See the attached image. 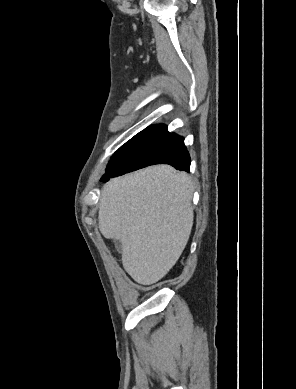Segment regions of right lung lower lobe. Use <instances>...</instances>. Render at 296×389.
Segmentation results:
<instances>
[{
  "label": "right lung lower lobe",
  "instance_id": "obj_1",
  "mask_svg": "<svg viewBox=\"0 0 296 389\" xmlns=\"http://www.w3.org/2000/svg\"><path fill=\"white\" fill-rule=\"evenodd\" d=\"M190 156L184 145V138L175 133L164 137L148 154L145 163L136 168L106 171L101 181L154 164H169L178 170H190Z\"/></svg>",
  "mask_w": 296,
  "mask_h": 389
}]
</instances>
